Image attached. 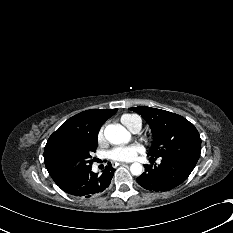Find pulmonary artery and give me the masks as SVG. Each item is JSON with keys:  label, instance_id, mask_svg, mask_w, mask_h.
<instances>
[{"label": "pulmonary artery", "instance_id": "1", "mask_svg": "<svg viewBox=\"0 0 233 233\" xmlns=\"http://www.w3.org/2000/svg\"><path fill=\"white\" fill-rule=\"evenodd\" d=\"M140 129H135L134 131H132L133 133H136L138 132Z\"/></svg>", "mask_w": 233, "mask_h": 233}]
</instances>
